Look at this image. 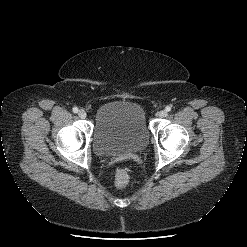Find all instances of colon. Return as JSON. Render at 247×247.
Segmentation results:
<instances>
[{"mask_svg": "<svg viewBox=\"0 0 247 247\" xmlns=\"http://www.w3.org/2000/svg\"><path fill=\"white\" fill-rule=\"evenodd\" d=\"M128 183H129V174H128L127 170L118 169L115 172L114 184L118 188H124V187H126L128 185Z\"/></svg>", "mask_w": 247, "mask_h": 247, "instance_id": "1", "label": "colon"}]
</instances>
